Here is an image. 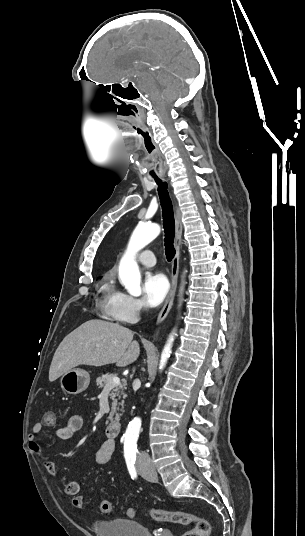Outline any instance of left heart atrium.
I'll list each match as a JSON object with an SVG mask.
<instances>
[{
	"instance_id": "left-heart-atrium-1",
	"label": "left heart atrium",
	"mask_w": 305,
	"mask_h": 536,
	"mask_svg": "<svg viewBox=\"0 0 305 536\" xmlns=\"http://www.w3.org/2000/svg\"><path fill=\"white\" fill-rule=\"evenodd\" d=\"M143 291L148 305L156 307L161 304L168 292V281L163 274L149 273L144 278Z\"/></svg>"
}]
</instances>
